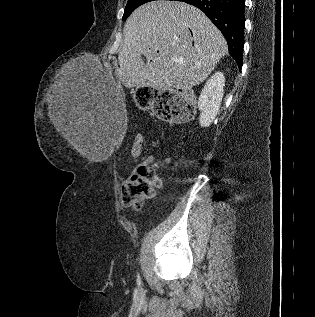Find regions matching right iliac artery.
Here are the masks:
<instances>
[{
    "label": "right iliac artery",
    "mask_w": 315,
    "mask_h": 317,
    "mask_svg": "<svg viewBox=\"0 0 315 317\" xmlns=\"http://www.w3.org/2000/svg\"><path fill=\"white\" fill-rule=\"evenodd\" d=\"M137 281H138V283L140 284L141 280H140V276H139V275H138V277H137Z\"/></svg>",
    "instance_id": "obj_1"
}]
</instances>
